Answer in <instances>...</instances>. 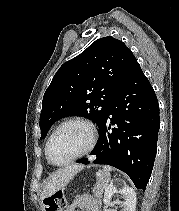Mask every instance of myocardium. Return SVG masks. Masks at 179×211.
<instances>
[{"instance_id": "obj_1", "label": "myocardium", "mask_w": 179, "mask_h": 211, "mask_svg": "<svg viewBox=\"0 0 179 211\" xmlns=\"http://www.w3.org/2000/svg\"><path fill=\"white\" fill-rule=\"evenodd\" d=\"M69 124H81L83 125L89 134V139H88V143L85 146V148L80 151L78 154H76L74 157H72L71 159H69L66 162L63 163H55L51 157H50V153H49V148H50V144L52 139L54 138V136L56 135V133L64 126L69 125ZM97 143V130L95 125L88 119L83 118V117H71L68 118L64 121H62L60 124H58L55 129L52 131V133L50 134L49 138L47 139L46 145H45V156L46 159L48 161L49 164L56 166V167H63V166H67L75 161H77L78 159L82 158L83 156L89 154L95 147Z\"/></svg>"}]
</instances>
